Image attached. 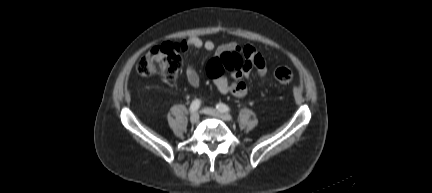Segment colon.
Here are the masks:
<instances>
[{
	"label": "colon",
	"instance_id": "5ec220e1",
	"mask_svg": "<svg viewBox=\"0 0 432 193\" xmlns=\"http://www.w3.org/2000/svg\"><path fill=\"white\" fill-rule=\"evenodd\" d=\"M182 65L181 47L175 43H163L152 48L142 56L137 63V71L143 76L159 75L168 80H173ZM245 65V58L237 52H225L220 60L212 59L207 66L209 75L212 78L224 73L238 71ZM274 78L281 85H288L293 80V73L286 67L275 70Z\"/></svg>",
	"mask_w": 432,
	"mask_h": 193
}]
</instances>
